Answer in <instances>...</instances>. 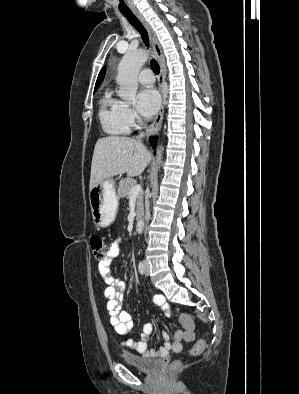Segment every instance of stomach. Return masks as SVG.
I'll use <instances>...</instances> for the list:
<instances>
[{"label":"stomach","mask_w":299,"mask_h":394,"mask_svg":"<svg viewBox=\"0 0 299 394\" xmlns=\"http://www.w3.org/2000/svg\"><path fill=\"white\" fill-rule=\"evenodd\" d=\"M90 206L95 226L108 227L115 219L118 196L113 180H105L90 189Z\"/></svg>","instance_id":"1"}]
</instances>
